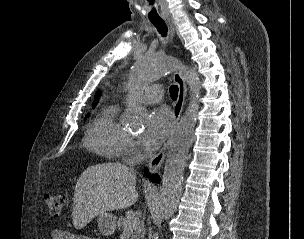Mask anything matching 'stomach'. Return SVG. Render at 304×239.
Wrapping results in <instances>:
<instances>
[{"label":"stomach","mask_w":304,"mask_h":239,"mask_svg":"<svg viewBox=\"0 0 304 239\" xmlns=\"http://www.w3.org/2000/svg\"><path fill=\"white\" fill-rule=\"evenodd\" d=\"M98 228L102 235H112L116 229V216L108 212L100 214L98 217Z\"/></svg>","instance_id":"stomach-1"}]
</instances>
